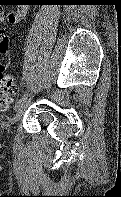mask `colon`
Returning a JSON list of instances; mask_svg holds the SVG:
<instances>
[{"label":"colon","instance_id":"colon-1","mask_svg":"<svg viewBox=\"0 0 121 197\" xmlns=\"http://www.w3.org/2000/svg\"><path fill=\"white\" fill-rule=\"evenodd\" d=\"M16 93V85L12 76L0 65V111L8 109Z\"/></svg>","mask_w":121,"mask_h":197}]
</instances>
